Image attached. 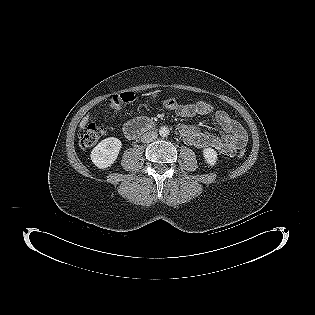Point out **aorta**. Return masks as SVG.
<instances>
[{
	"label": "aorta",
	"instance_id": "obj_1",
	"mask_svg": "<svg viewBox=\"0 0 315 315\" xmlns=\"http://www.w3.org/2000/svg\"><path fill=\"white\" fill-rule=\"evenodd\" d=\"M169 128H167V127H165V126H163V127H161L160 129H159V134H160V136H162V137H166V136H168L169 135Z\"/></svg>",
	"mask_w": 315,
	"mask_h": 315
}]
</instances>
